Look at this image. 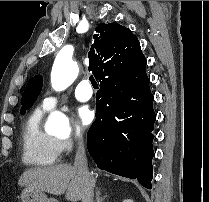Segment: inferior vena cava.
Returning <instances> with one entry per match:
<instances>
[{
    "label": "inferior vena cava",
    "mask_w": 209,
    "mask_h": 202,
    "mask_svg": "<svg viewBox=\"0 0 209 202\" xmlns=\"http://www.w3.org/2000/svg\"><path fill=\"white\" fill-rule=\"evenodd\" d=\"M74 169L76 170L78 175H80L83 179L82 197H81L82 202H93L94 181L91 174L88 171L85 148L81 140H78L77 143Z\"/></svg>",
    "instance_id": "602c4592"
}]
</instances>
